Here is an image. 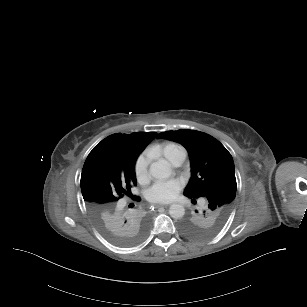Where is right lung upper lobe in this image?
Here are the masks:
<instances>
[{"instance_id":"right-lung-upper-lobe-1","label":"right lung upper lobe","mask_w":307,"mask_h":307,"mask_svg":"<svg viewBox=\"0 0 307 307\" xmlns=\"http://www.w3.org/2000/svg\"><path fill=\"white\" fill-rule=\"evenodd\" d=\"M156 132L113 134L88 155L81 175V191L99 228L127 240L140 238L149 217L132 196L135 162ZM135 206V207H134Z\"/></svg>"}]
</instances>
